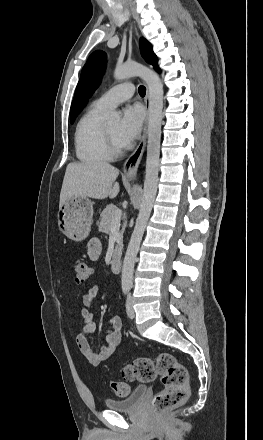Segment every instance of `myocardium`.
I'll list each match as a JSON object with an SVG mask.
<instances>
[{
  "mask_svg": "<svg viewBox=\"0 0 263 440\" xmlns=\"http://www.w3.org/2000/svg\"><path fill=\"white\" fill-rule=\"evenodd\" d=\"M103 132H104L106 148L109 154L113 157L122 155L124 152V148L116 145L106 123H104Z\"/></svg>",
  "mask_w": 263,
  "mask_h": 440,
  "instance_id": "obj_1",
  "label": "myocardium"
}]
</instances>
